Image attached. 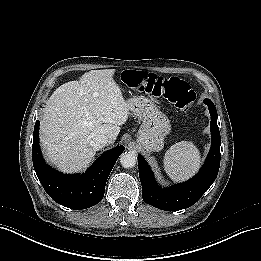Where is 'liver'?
I'll list each match as a JSON object with an SVG mask.
<instances>
[{
  "label": "liver",
  "mask_w": 261,
  "mask_h": 261,
  "mask_svg": "<svg viewBox=\"0 0 261 261\" xmlns=\"http://www.w3.org/2000/svg\"><path fill=\"white\" fill-rule=\"evenodd\" d=\"M115 70H92L79 81L58 87L46 102L40 121V142L48 162L63 172L85 169L96 150L93 138L106 135L113 144L129 117L113 79Z\"/></svg>",
  "instance_id": "6515ba94"
}]
</instances>
